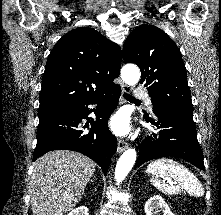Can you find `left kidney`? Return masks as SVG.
<instances>
[{
	"label": "left kidney",
	"instance_id": "1",
	"mask_svg": "<svg viewBox=\"0 0 221 215\" xmlns=\"http://www.w3.org/2000/svg\"><path fill=\"white\" fill-rule=\"evenodd\" d=\"M154 210H156V212H159V210H161L163 212V215H174L171 212L168 204H166L163 198L159 195L152 196L145 204L146 215H153Z\"/></svg>",
	"mask_w": 221,
	"mask_h": 215
}]
</instances>
